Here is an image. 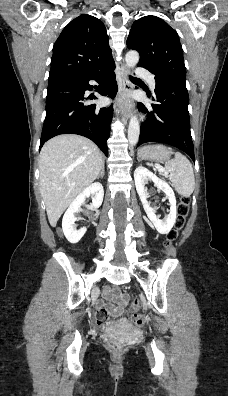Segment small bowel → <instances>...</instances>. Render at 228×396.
I'll use <instances>...</instances> for the list:
<instances>
[{
    "instance_id": "small-bowel-1",
    "label": "small bowel",
    "mask_w": 228,
    "mask_h": 396,
    "mask_svg": "<svg viewBox=\"0 0 228 396\" xmlns=\"http://www.w3.org/2000/svg\"><path fill=\"white\" fill-rule=\"evenodd\" d=\"M105 301H97L96 305L99 309L100 313L103 314L102 318H98V323L103 324L105 315H120L123 313L124 306L127 303V297L121 296L118 293H115L109 289H107L104 293Z\"/></svg>"
}]
</instances>
